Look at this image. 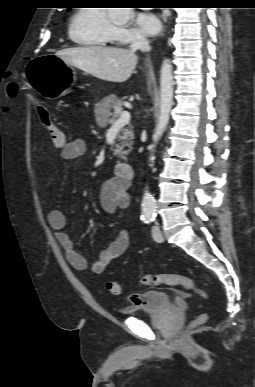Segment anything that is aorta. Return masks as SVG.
<instances>
[{
	"mask_svg": "<svg viewBox=\"0 0 255 387\" xmlns=\"http://www.w3.org/2000/svg\"><path fill=\"white\" fill-rule=\"evenodd\" d=\"M109 16L117 23L124 24L133 16V8H108ZM173 68L169 59H165L160 71V114L153 135L149 162L154 160V152L157 142L168 126L170 113L173 106ZM142 215L151 218L156 212V200L146 188L142 198Z\"/></svg>",
	"mask_w": 255,
	"mask_h": 387,
	"instance_id": "1",
	"label": "aorta"
}]
</instances>
